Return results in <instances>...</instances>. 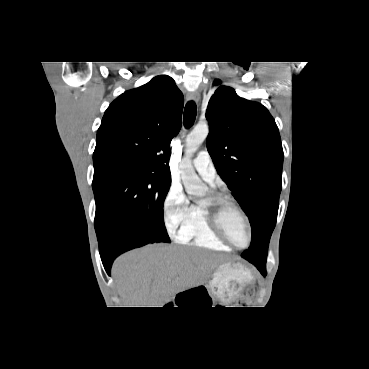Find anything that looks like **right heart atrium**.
Returning a JSON list of instances; mask_svg holds the SVG:
<instances>
[{"label":"right heart atrium","instance_id":"1","mask_svg":"<svg viewBox=\"0 0 369 369\" xmlns=\"http://www.w3.org/2000/svg\"><path fill=\"white\" fill-rule=\"evenodd\" d=\"M192 204L179 184H172L163 203L165 226L172 236H177L186 225Z\"/></svg>","mask_w":369,"mask_h":369}]
</instances>
